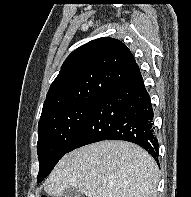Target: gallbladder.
I'll return each mask as SVG.
<instances>
[{
    "instance_id": "bac80fb5",
    "label": "gallbladder",
    "mask_w": 191,
    "mask_h": 197,
    "mask_svg": "<svg viewBox=\"0 0 191 197\" xmlns=\"http://www.w3.org/2000/svg\"><path fill=\"white\" fill-rule=\"evenodd\" d=\"M60 197H82V193L77 188H67Z\"/></svg>"
}]
</instances>
